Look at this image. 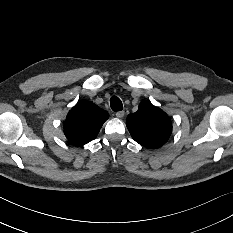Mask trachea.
<instances>
[{
	"label": "trachea",
	"mask_w": 233,
	"mask_h": 233,
	"mask_svg": "<svg viewBox=\"0 0 233 233\" xmlns=\"http://www.w3.org/2000/svg\"><path fill=\"white\" fill-rule=\"evenodd\" d=\"M110 106L113 111H121L123 109L121 100L116 96L111 97Z\"/></svg>",
	"instance_id": "obj_1"
}]
</instances>
